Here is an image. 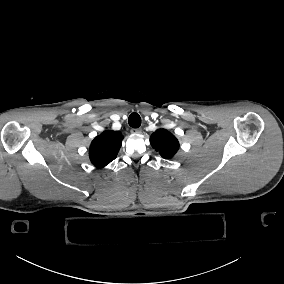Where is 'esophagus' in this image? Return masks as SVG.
I'll return each instance as SVG.
<instances>
[{
  "label": "esophagus",
  "instance_id": "esophagus-1",
  "mask_svg": "<svg viewBox=\"0 0 284 284\" xmlns=\"http://www.w3.org/2000/svg\"><path fill=\"white\" fill-rule=\"evenodd\" d=\"M130 131H131L132 134H140L141 128H132Z\"/></svg>",
  "mask_w": 284,
  "mask_h": 284
}]
</instances>
